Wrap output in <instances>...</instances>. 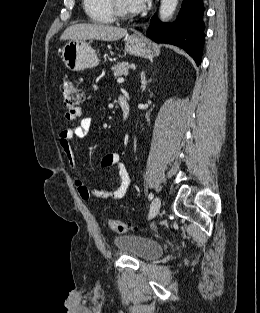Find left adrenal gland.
Instances as JSON below:
<instances>
[{
    "label": "left adrenal gland",
    "instance_id": "a2214340",
    "mask_svg": "<svg viewBox=\"0 0 260 313\" xmlns=\"http://www.w3.org/2000/svg\"><path fill=\"white\" fill-rule=\"evenodd\" d=\"M152 79L146 80L145 72L141 73V91L143 92L146 89L147 83L151 82Z\"/></svg>",
    "mask_w": 260,
    "mask_h": 313
}]
</instances>
